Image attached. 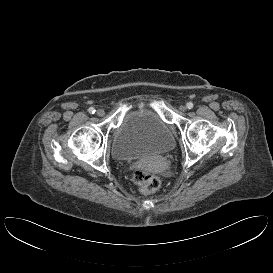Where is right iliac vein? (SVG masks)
<instances>
[{
  "label": "right iliac vein",
  "instance_id": "right-iliac-vein-1",
  "mask_svg": "<svg viewBox=\"0 0 273 273\" xmlns=\"http://www.w3.org/2000/svg\"><path fill=\"white\" fill-rule=\"evenodd\" d=\"M104 114H105V112H104L103 109L97 110V115H98V116L102 117V116H104Z\"/></svg>",
  "mask_w": 273,
  "mask_h": 273
}]
</instances>
